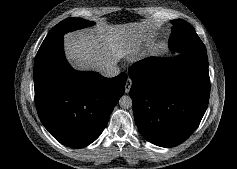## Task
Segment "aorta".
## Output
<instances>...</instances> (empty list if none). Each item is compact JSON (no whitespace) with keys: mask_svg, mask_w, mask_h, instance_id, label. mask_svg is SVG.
<instances>
[{"mask_svg":"<svg viewBox=\"0 0 237 169\" xmlns=\"http://www.w3.org/2000/svg\"><path fill=\"white\" fill-rule=\"evenodd\" d=\"M119 106L122 109H129L132 107V99L128 95H123L119 100Z\"/></svg>","mask_w":237,"mask_h":169,"instance_id":"obj_1","label":"aorta"}]
</instances>
